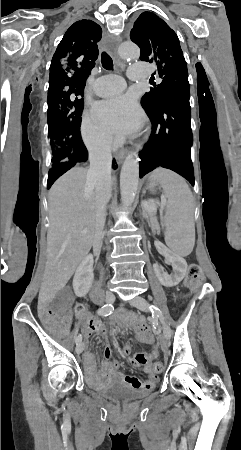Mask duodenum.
Instances as JSON below:
<instances>
[{
  "instance_id": "obj_1",
  "label": "duodenum",
  "mask_w": 241,
  "mask_h": 450,
  "mask_svg": "<svg viewBox=\"0 0 241 450\" xmlns=\"http://www.w3.org/2000/svg\"><path fill=\"white\" fill-rule=\"evenodd\" d=\"M92 297H93V299H95V300H99V299L101 298V291H100V289H99L98 284H96V285L94 286V289H93V292H92Z\"/></svg>"
}]
</instances>
